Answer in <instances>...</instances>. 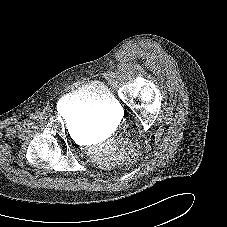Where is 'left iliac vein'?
<instances>
[{
    "label": "left iliac vein",
    "instance_id": "4c4485c4",
    "mask_svg": "<svg viewBox=\"0 0 227 227\" xmlns=\"http://www.w3.org/2000/svg\"><path fill=\"white\" fill-rule=\"evenodd\" d=\"M111 83H112V84H115L116 82H115V80L112 79V80H111Z\"/></svg>",
    "mask_w": 227,
    "mask_h": 227
}]
</instances>
